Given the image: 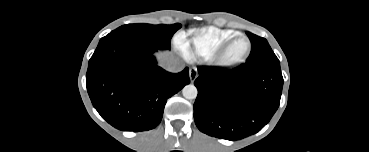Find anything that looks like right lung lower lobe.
<instances>
[{"label": "right lung lower lobe", "instance_id": "right-lung-lower-lobe-1", "mask_svg": "<svg viewBox=\"0 0 369 152\" xmlns=\"http://www.w3.org/2000/svg\"><path fill=\"white\" fill-rule=\"evenodd\" d=\"M156 46L119 38L99 43L86 86L98 113L122 131H146L161 121L166 101L190 83L189 69L169 73L156 65Z\"/></svg>", "mask_w": 369, "mask_h": 152}]
</instances>
